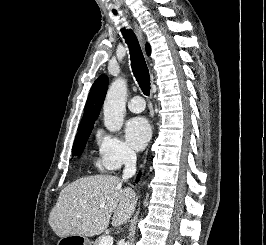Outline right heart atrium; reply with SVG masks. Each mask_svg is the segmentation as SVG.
<instances>
[{
	"instance_id": "obj_1",
	"label": "right heart atrium",
	"mask_w": 266,
	"mask_h": 245,
	"mask_svg": "<svg viewBox=\"0 0 266 245\" xmlns=\"http://www.w3.org/2000/svg\"><path fill=\"white\" fill-rule=\"evenodd\" d=\"M96 143L100 162L109 171H116L135 158L130 146L115 133L98 130Z\"/></svg>"
}]
</instances>
